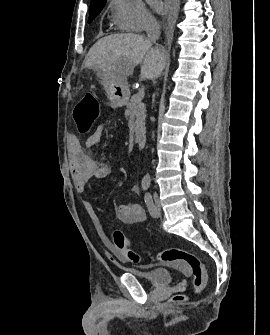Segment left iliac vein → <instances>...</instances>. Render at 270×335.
<instances>
[{"label": "left iliac vein", "instance_id": "left-iliac-vein-1", "mask_svg": "<svg viewBox=\"0 0 270 335\" xmlns=\"http://www.w3.org/2000/svg\"><path fill=\"white\" fill-rule=\"evenodd\" d=\"M154 203H155L154 205L156 208V212L153 215V217H159L161 215V205H160L159 197L156 193L154 194Z\"/></svg>", "mask_w": 270, "mask_h": 335}]
</instances>
